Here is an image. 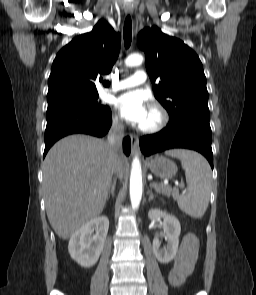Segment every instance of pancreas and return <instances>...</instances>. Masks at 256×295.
I'll return each mask as SVG.
<instances>
[{"label":"pancreas","mask_w":256,"mask_h":295,"mask_svg":"<svg viewBox=\"0 0 256 295\" xmlns=\"http://www.w3.org/2000/svg\"><path fill=\"white\" fill-rule=\"evenodd\" d=\"M151 187H154L156 192L163 194L167 197L172 196L175 200L179 198V191L176 188L172 189L170 186H166L161 183H155V185Z\"/></svg>","instance_id":"pancreas-1"}]
</instances>
